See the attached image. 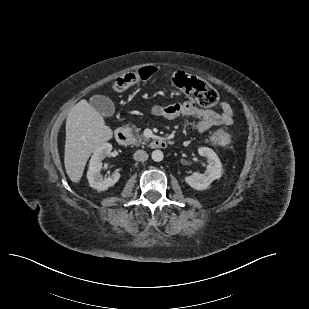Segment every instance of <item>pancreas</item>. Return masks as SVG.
I'll use <instances>...</instances> for the list:
<instances>
[{
	"label": "pancreas",
	"instance_id": "1",
	"mask_svg": "<svg viewBox=\"0 0 309 309\" xmlns=\"http://www.w3.org/2000/svg\"><path fill=\"white\" fill-rule=\"evenodd\" d=\"M126 127L129 128L131 131L134 130V134H135L134 144L135 145H141V144L144 145L148 141L146 137H144L142 134L139 133V129L136 126L129 127L127 125Z\"/></svg>",
	"mask_w": 309,
	"mask_h": 309
}]
</instances>
